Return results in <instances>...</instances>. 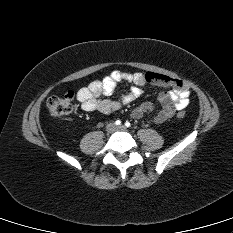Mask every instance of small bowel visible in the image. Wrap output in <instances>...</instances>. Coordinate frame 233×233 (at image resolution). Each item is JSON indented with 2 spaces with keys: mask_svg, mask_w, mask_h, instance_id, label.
<instances>
[{
  "mask_svg": "<svg viewBox=\"0 0 233 233\" xmlns=\"http://www.w3.org/2000/svg\"><path fill=\"white\" fill-rule=\"evenodd\" d=\"M122 81L133 85L128 93L123 94L118 100L102 98L112 95L117 84ZM147 83L170 87V89L159 95L160 108L158 110L155 111L151 102H144L132 111L131 116L134 119L151 114L152 122L160 124L171 118L176 111H182L188 106L189 86L182 80L154 72L143 74L113 71L103 79L94 80L86 87L79 89L76 98L84 111H97L108 115L121 110L124 105L139 98L142 94L141 87Z\"/></svg>",
  "mask_w": 233,
  "mask_h": 233,
  "instance_id": "obj_1",
  "label": "small bowel"
}]
</instances>
